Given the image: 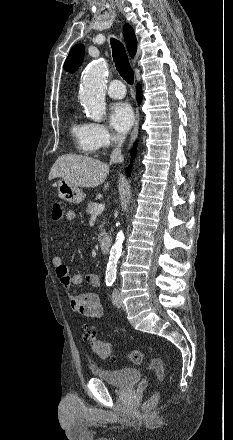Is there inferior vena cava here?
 Returning <instances> with one entry per match:
<instances>
[{"label": "inferior vena cava", "mask_w": 233, "mask_h": 440, "mask_svg": "<svg viewBox=\"0 0 233 440\" xmlns=\"http://www.w3.org/2000/svg\"><path fill=\"white\" fill-rule=\"evenodd\" d=\"M114 141L116 142L115 149L112 151L110 156V162L111 163H120L124 160L123 155L121 154V147L124 141V137L121 135H117L114 138Z\"/></svg>", "instance_id": "obj_1"}]
</instances>
